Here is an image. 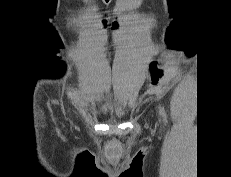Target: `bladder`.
Here are the masks:
<instances>
[{
	"mask_svg": "<svg viewBox=\"0 0 231 177\" xmlns=\"http://www.w3.org/2000/svg\"><path fill=\"white\" fill-rule=\"evenodd\" d=\"M102 102L107 108H111L113 106L112 99L108 96L103 97Z\"/></svg>",
	"mask_w": 231,
	"mask_h": 177,
	"instance_id": "bladder-1",
	"label": "bladder"
}]
</instances>
